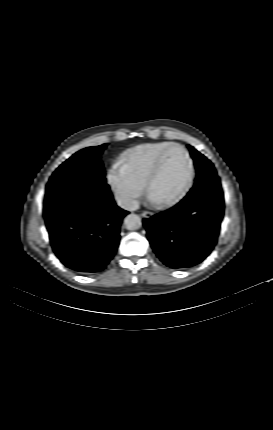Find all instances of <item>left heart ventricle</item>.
Wrapping results in <instances>:
<instances>
[{
	"instance_id": "b2bd125f",
	"label": "left heart ventricle",
	"mask_w": 273,
	"mask_h": 430,
	"mask_svg": "<svg viewBox=\"0 0 273 430\" xmlns=\"http://www.w3.org/2000/svg\"><path fill=\"white\" fill-rule=\"evenodd\" d=\"M188 174V162L180 149L169 151L162 164L161 171L154 181L150 196L155 201L171 198L182 187Z\"/></svg>"
}]
</instances>
